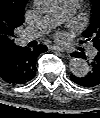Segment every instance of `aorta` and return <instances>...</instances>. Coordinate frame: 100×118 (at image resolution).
<instances>
[{"instance_id": "1", "label": "aorta", "mask_w": 100, "mask_h": 118, "mask_svg": "<svg viewBox=\"0 0 100 118\" xmlns=\"http://www.w3.org/2000/svg\"><path fill=\"white\" fill-rule=\"evenodd\" d=\"M37 8L42 12H52L58 7V0H35ZM69 68L73 75L84 77L89 73L88 63L81 58H73L69 62Z\"/></svg>"}]
</instances>
